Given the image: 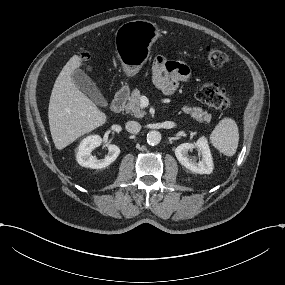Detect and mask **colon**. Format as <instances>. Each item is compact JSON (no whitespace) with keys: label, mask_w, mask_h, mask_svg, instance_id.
<instances>
[{"label":"colon","mask_w":285,"mask_h":285,"mask_svg":"<svg viewBox=\"0 0 285 285\" xmlns=\"http://www.w3.org/2000/svg\"><path fill=\"white\" fill-rule=\"evenodd\" d=\"M205 55L214 67H220L227 61V54L215 47H206ZM196 98L217 110H227L232 106V98L215 83H204L196 91Z\"/></svg>","instance_id":"colon-1"}]
</instances>
